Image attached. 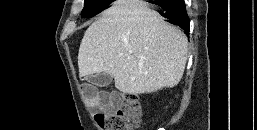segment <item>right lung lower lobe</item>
Listing matches in <instances>:
<instances>
[{
    "label": "right lung lower lobe",
    "mask_w": 257,
    "mask_h": 130,
    "mask_svg": "<svg viewBox=\"0 0 257 130\" xmlns=\"http://www.w3.org/2000/svg\"><path fill=\"white\" fill-rule=\"evenodd\" d=\"M152 3L161 7V15L167 18V22L177 25L189 32L190 21L183 0H161Z\"/></svg>",
    "instance_id": "98d812e1"
}]
</instances>
